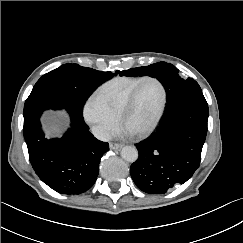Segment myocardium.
I'll list each match as a JSON object with an SVG mask.
<instances>
[{
    "label": "myocardium",
    "instance_id": "f54148a6",
    "mask_svg": "<svg viewBox=\"0 0 243 243\" xmlns=\"http://www.w3.org/2000/svg\"><path fill=\"white\" fill-rule=\"evenodd\" d=\"M148 81H154L160 86V88L162 90V101H161L160 107H159L157 113L155 114L154 118L152 119V121L146 127H144L143 129H140L138 131L132 132L136 136H140V137L151 133L154 130V128L157 126V124L159 123V121L161 120V118H162V116H163V114L165 112L168 96H167L166 87L163 84V82L160 79L156 78V77H145L144 79H142L133 88V90L131 91V93L127 97L126 101L122 105L120 113H119L120 123L124 126L126 116H127L129 110L132 108V106L134 104V101L136 99V96L138 94V91H139L140 87L145 82H148Z\"/></svg>",
    "mask_w": 243,
    "mask_h": 243
}]
</instances>
